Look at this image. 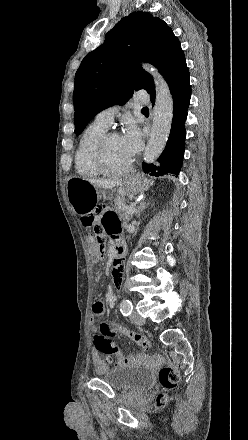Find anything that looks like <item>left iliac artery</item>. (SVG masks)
Instances as JSON below:
<instances>
[{
    "label": "left iliac artery",
    "instance_id": "1",
    "mask_svg": "<svg viewBox=\"0 0 248 440\" xmlns=\"http://www.w3.org/2000/svg\"><path fill=\"white\" fill-rule=\"evenodd\" d=\"M133 310V305L130 300L124 299L120 304V311L124 316H129Z\"/></svg>",
    "mask_w": 248,
    "mask_h": 440
}]
</instances>
